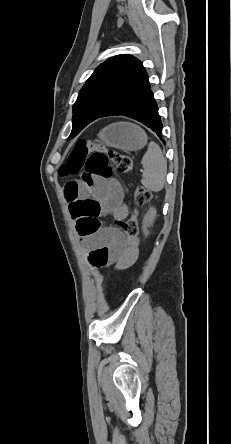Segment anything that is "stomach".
Masks as SVG:
<instances>
[{
	"instance_id": "0dacf381",
	"label": "stomach",
	"mask_w": 231,
	"mask_h": 444,
	"mask_svg": "<svg viewBox=\"0 0 231 444\" xmlns=\"http://www.w3.org/2000/svg\"><path fill=\"white\" fill-rule=\"evenodd\" d=\"M98 136L107 146L124 151H137L147 144L148 139L139 126L126 122L111 124Z\"/></svg>"
}]
</instances>
